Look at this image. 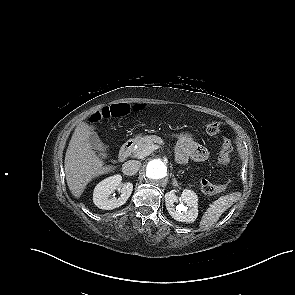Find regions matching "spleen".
<instances>
[{
	"instance_id": "1",
	"label": "spleen",
	"mask_w": 295,
	"mask_h": 295,
	"mask_svg": "<svg viewBox=\"0 0 295 295\" xmlns=\"http://www.w3.org/2000/svg\"><path fill=\"white\" fill-rule=\"evenodd\" d=\"M240 192L231 193L225 196H221L217 200H215L206 212L204 213L201 222L200 228L207 229L211 227L215 222L219 220V217L230 208L235 202L240 199Z\"/></svg>"
}]
</instances>
